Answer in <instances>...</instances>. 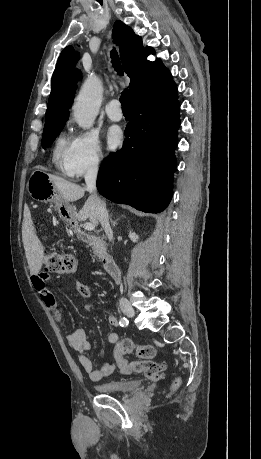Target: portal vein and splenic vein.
I'll list each match as a JSON object with an SVG mask.
<instances>
[{"label": "portal vein and splenic vein", "mask_w": 261, "mask_h": 459, "mask_svg": "<svg viewBox=\"0 0 261 459\" xmlns=\"http://www.w3.org/2000/svg\"><path fill=\"white\" fill-rule=\"evenodd\" d=\"M84 229L88 230V231L94 230L95 229V225L93 223H85L84 224Z\"/></svg>", "instance_id": "portal-vein-and-splenic-vein-1"}]
</instances>
